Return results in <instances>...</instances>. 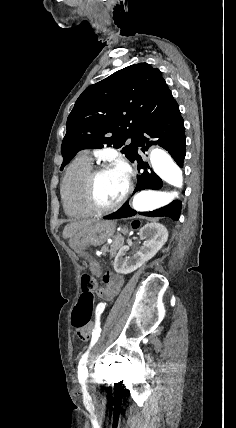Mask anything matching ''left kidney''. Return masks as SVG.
<instances>
[{
	"label": "left kidney",
	"instance_id": "1",
	"mask_svg": "<svg viewBox=\"0 0 236 428\" xmlns=\"http://www.w3.org/2000/svg\"><path fill=\"white\" fill-rule=\"evenodd\" d=\"M139 236L145 242L136 254L127 256L130 246H122L120 248L113 262V268L117 274L135 272L142 264L151 260L168 240V232L163 224H146L141 228Z\"/></svg>",
	"mask_w": 236,
	"mask_h": 428
}]
</instances>
